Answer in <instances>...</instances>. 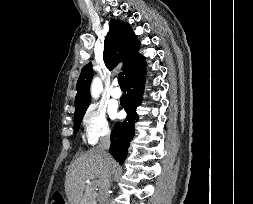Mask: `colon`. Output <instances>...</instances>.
I'll use <instances>...</instances> for the list:
<instances>
[{
  "mask_svg": "<svg viewBox=\"0 0 253 204\" xmlns=\"http://www.w3.org/2000/svg\"><path fill=\"white\" fill-rule=\"evenodd\" d=\"M52 204H63V198L60 194H55L51 201Z\"/></svg>",
  "mask_w": 253,
  "mask_h": 204,
  "instance_id": "obj_1",
  "label": "colon"
}]
</instances>
